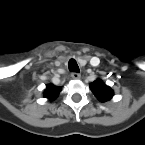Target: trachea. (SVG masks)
I'll list each match as a JSON object with an SVG mask.
<instances>
[{
    "instance_id": "trachea-1",
    "label": "trachea",
    "mask_w": 145,
    "mask_h": 145,
    "mask_svg": "<svg viewBox=\"0 0 145 145\" xmlns=\"http://www.w3.org/2000/svg\"><path fill=\"white\" fill-rule=\"evenodd\" d=\"M68 67H69V70L72 72H79L80 71L79 67L77 65V62L74 59L69 60Z\"/></svg>"
}]
</instances>
